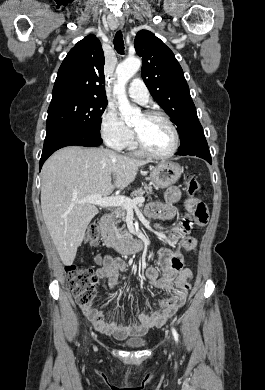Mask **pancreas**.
<instances>
[{
    "label": "pancreas",
    "instance_id": "1",
    "mask_svg": "<svg viewBox=\"0 0 265 390\" xmlns=\"http://www.w3.org/2000/svg\"><path fill=\"white\" fill-rule=\"evenodd\" d=\"M140 194L146 193L147 195L152 194L151 187H145L144 189H138ZM112 218V229L115 232L116 236L119 238L129 239L132 238L131 234L125 229V226L118 228V224L125 222L126 219V209L123 207H117L111 213Z\"/></svg>",
    "mask_w": 265,
    "mask_h": 390
}]
</instances>
